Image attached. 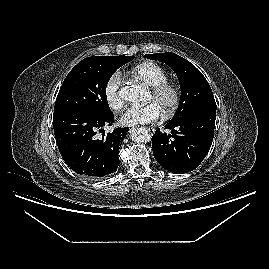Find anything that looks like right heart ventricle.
<instances>
[{
  "instance_id": "obj_1",
  "label": "right heart ventricle",
  "mask_w": 269,
  "mask_h": 269,
  "mask_svg": "<svg viewBox=\"0 0 269 269\" xmlns=\"http://www.w3.org/2000/svg\"><path fill=\"white\" fill-rule=\"evenodd\" d=\"M131 74L149 87L168 80L167 71L153 62H143L132 68Z\"/></svg>"
}]
</instances>
